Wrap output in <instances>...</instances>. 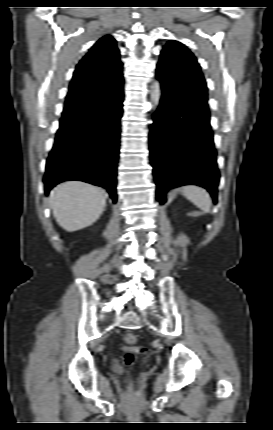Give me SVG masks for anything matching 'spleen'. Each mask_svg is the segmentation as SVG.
I'll return each mask as SVG.
<instances>
[{
  "instance_id": "3e777b00",
  "label": "spleen",
  "mask_w": 273,
  "mask_h": 430,
  "mask_svg": "<svg viewBox=\"0 0 273 430\" xmlns=\"http://www.w3.org/2000/svg\"><path fill=\"white\" fill-rule=\"evenodd\" d=\"M185 198L190 200L204 212H209L211 209V201L207 191L195 185H188L182 189Z\"/></svg>"
}]
</instances>
